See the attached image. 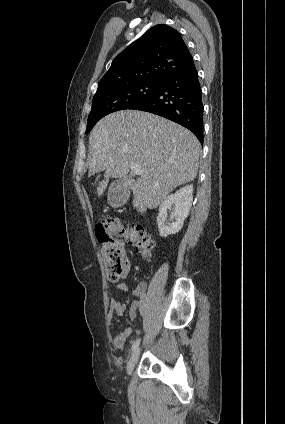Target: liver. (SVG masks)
Listing matches in <instances>:
<instances>
[{"label":"liver","mask_w":285,"mask_h":424,"mask_svg":"<svg viewBox=\"0 0 285 424\" xmlns=\"http://www.w3.org/2000/svg\"><path fill=\"white\" fill-rule=\"evenodd\" d=\"M88 176L105 171L101 197L110 178H123L139 165L133 206L143 214L156 208L176 187L197 176L201 145L188 129L152 113L122 110L101 119L89 137Z\"/></svg>","instance_id":"liver-1"}]
</instances>
